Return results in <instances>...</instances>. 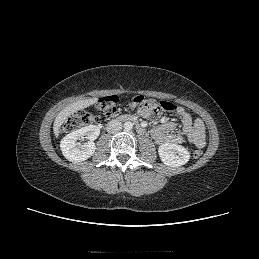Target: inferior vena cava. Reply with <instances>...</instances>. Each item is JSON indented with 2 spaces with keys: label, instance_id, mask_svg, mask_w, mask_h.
<instances>
[{
  "label": "inferior vena cava",
  "instance_id": "inferior-vena-cava-1",
  "mask_svg": "<svg viewBox=\"0 0 259 259\" xmlns=\"http://www.w3.org/2000/svg\"><path fill=\"white\" fill-rule=\"evenodd\" d=\"M122 129V123L119 120H111L107 123L106 130L108 133L115 134Z\"/></svg>",
  "mask_w": 259,
  "mask_h": 259
}]
</instances>
